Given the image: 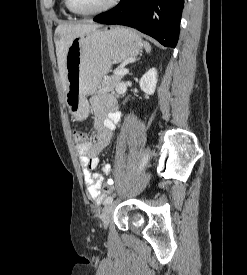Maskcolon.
<instances>
[{"label":"colon","instance_id":"obj_1","mask_svg":"<svg viewBox=\"0 0 247 275\" xmlns=\"http://www.w3.org/2000/svg\"><path fill=\"white\" fill-rule=\"evenodd\" d=\"M85 138H86V135L83 131L77 130V129L73 130V139L78 145L82 144ZM113 190H114V185L112 182L106 183L103 187V191L106 194L113 192Z\"/></svg>","mask_w":247,"mask_h":275}]
</instances>
